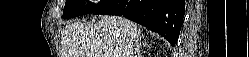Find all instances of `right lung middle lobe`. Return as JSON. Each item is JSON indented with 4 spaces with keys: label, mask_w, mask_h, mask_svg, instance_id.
<instances>
[{
    "label": "right lung middle lobe",
    "mask_w": 249,
    "mask_h": 57,
    "mask_svg": "<svg viewBox=\"0 0 249 57\" xmlns=\"http://www.w3.org/2000/svg\"><path fill=\"white\" fill-rule=\"evenodd\" d=\"M110 0H101L98 4H93L85 0H68L65 3L62 18L70 19L90 12H94L103 7Z\"/></svg>",
    "instance_id": "dd1d6c3e"
}]
</instances>
